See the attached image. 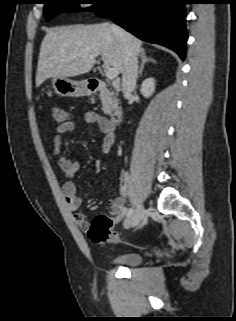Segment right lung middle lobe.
<instances>
[{
  "mask_svg": "<svg viewBox=\"0 0 236 321\" xmlns=\"http://www.w3.org/2000/svg\"><path fill=\"white\" fill-rule=\"evenodd\" d=\"M92 6L87 9L80 7L79 0H45L44 12L46 20H50L61 12L97 11L110 0H91Z\"/></svg>",
  "mask_w": 236,
  "mask_h": 321,
  "instance_id": "right-lung-middle-lobe-1",
  "label": "right lung middle lobe"
}]
</instances>
